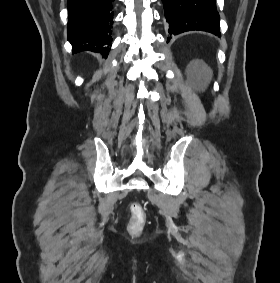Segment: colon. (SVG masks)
<instances>
[{"label":"colon","instance_id":"colon-1","mask_svg":"<svg viewBox=\"0 0 280 283\" xmlns=\"http://www.w3.org/2000/svg\"><path fill=\"white\" fill-rule=\"evenodd\" d=\"M130 220L127 226L128 232L131 235H139L146 224V214L142 205L134 202L130 205Z\"/></svg>","mask_w":280,"mask_h":283}]
</instances>
